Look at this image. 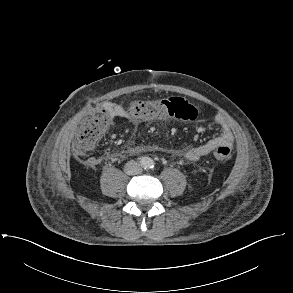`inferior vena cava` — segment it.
I'll return each instance as SVG.
<instances>
[{
	"instance_id": "obj_1",
	"label": "inferior vena cava",
	"mask_w": 293,
	"mask_h": 293,
	"mask_svg": "<svg viewBox=\"0 0 293 293\" xmlns=\"http://www.w3.org/2000/svg\"><path fill=\"white\" fill-rule=\"evenodd\" d=\"M125 172L129 175L139 174L141 172V166L135 161H129L125 165Z\"/></svg>"
}]
</instances>
